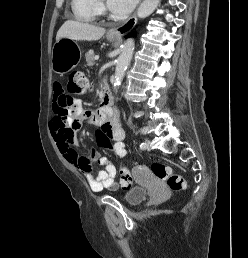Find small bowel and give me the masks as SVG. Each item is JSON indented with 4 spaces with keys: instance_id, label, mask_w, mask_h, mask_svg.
I'll list each match as a JSON object with an SVG mask.
<instances>
[{
    "instance_id": "1",
    "label": "small bowel",
    "mask_w": 248,
    "mask_h": 258,
    "mask_svg": "<svg viewBox=\"0 0 248 258\" xmlns=\"http://www.w3.org/2000/svg\"><path fill=\"white\" fill-rule=\"evenodd\" d=\"M52 107L54 115L50 121V128L57 146L66 160L84 174L91 190L101 192L104 189L116 191L120 187L129 188L115 182L116 167L97 150L92 149L88 156H79L76 151L79 147L76 133L84 121H92L100 126L106 138L113 141L115 154H120L121 158H124L126 156L123 143L124 131L113 114H106L101 108L83 109L82 102L79 99H73L60 83L54 85ZM93 162H98L105 168L95 174L91 166Z\"/></svg>"
}]
</instances>
